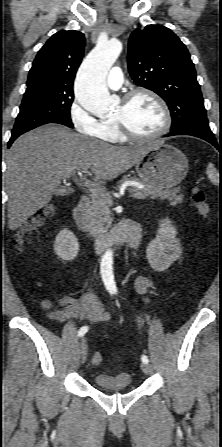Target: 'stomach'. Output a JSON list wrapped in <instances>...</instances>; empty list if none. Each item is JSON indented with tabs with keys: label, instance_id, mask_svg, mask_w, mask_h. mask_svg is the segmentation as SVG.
I'll list each match as a JSON object with an SVG mask.
<instances>
[{
	"label": "stomach",
	"instance_id": "stomach-1",
	"mask_svg": "<svg viewBox=\"0 0 222 447\" xmlns=\"http://www.w3.org/2000/svg\"><path fill=\"white\" fill-rule=\"evenodd\" d=\"M143 182L168 189L178 185L188 172V159L176 147L163 142L148 147L135 165Z\"/></svg>",
	"mask_w": 222,
	"mask_h": 447
}]
</instances>
